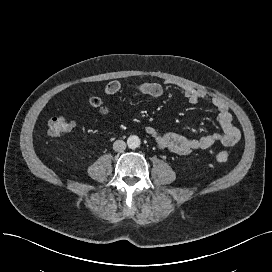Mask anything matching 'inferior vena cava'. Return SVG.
<instances>
[{"instance_id":"inferior-vena-cava-1","label":"inferior vena cava","mask_w":272,"mask_h":272,"mask_svg":"<svg viewBox=\"0 0 272 272\" xmlns=\"http://www.w3.org/2000/svg\"><path fill=\"white\" fill-rule=\"evenodd\" d=\"M113 149L115 151L121 152L126 149V143L123 140H116L113 143Z\"/></svg>"}]
</instances>
